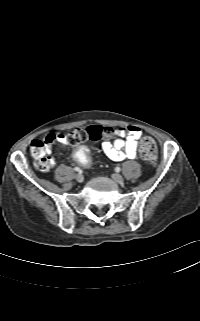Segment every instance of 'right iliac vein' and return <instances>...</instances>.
I'll use <instances>...</instances> for the list:
<instances>
[{"instance_id": "1", "label": "right iliac vein", "mask_w": 200, "mask_h": 321, "mask_svg": "<svg viewBox=\"0 0 200 321\" xmlns=\"http://www.w3.org/2000/svg\"><path fill=\"white\" fill-rule=\"evenodd\" d=\"M75 179H76L78 182H83L84 177H83V175H81L80 173H78V174L75 175Z\"/></svg>"}]
</instances>
